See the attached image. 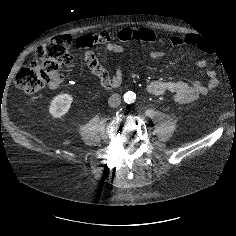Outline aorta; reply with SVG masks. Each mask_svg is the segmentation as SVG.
<instances>
[{
  "label": "aorta",
  "mask_w": 236,
  "mask_h": 236,
  "mask_svg": "<svg viewBox=\"0 0 236 236\" xmlns=\"http://www.w3.org/2000/svg\"><path fill=\"white\" fill-rule=\"evenodd\" d=\"M136 99V94L132 91H128L124 94V101L126 103H133Z\"/></svg>",
  "instance_id": "aorta-1"
}]
</instances>
